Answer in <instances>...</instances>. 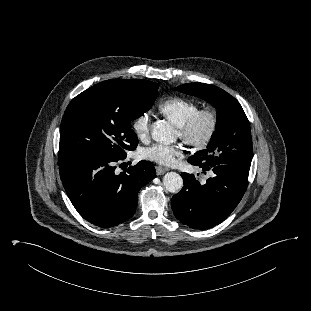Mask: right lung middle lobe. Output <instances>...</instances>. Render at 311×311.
<instances>
[{"instance_id": "dd1d6c3e", "label": "right lung middle lobe", "mask_w": 311, "mask_h": 311, "mask_svg": "<svg viewBox=\"0 0 311 311\" xmlns=\"http://www.w3.org/2000/svg\"><path fill=\"white\" fill-rule=\"evenodd\" d=\"M158 87L146 80L112 79L80 93L64 113L58 157L125 158L138 145L131 121L152 107Z\"/></svg>"}]
</instances>
